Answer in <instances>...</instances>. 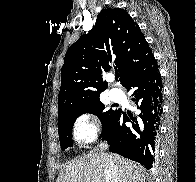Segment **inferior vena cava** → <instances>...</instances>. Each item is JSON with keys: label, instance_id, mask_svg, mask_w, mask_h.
I'll use <instances>...</instances> for the list:
<instances>
[{"label": "inferior vena cava", "instance_id": "obj_1", "mask_svg": "<svg viewBox=\"0 0 196 182\" xmlns=\"http://www.w3.org/2000/svg\"><path fill=\"white\" fill-rule=\"evenodd\" d=\"M107 148H108L107 143L100 144V150L102 156L104 155L103 150H106ZM104 176H105V182H118L116 168L113 162L108 158L105 160L104 163Z\"/></svg>", "mask_w": 196, "mask_h": 182}]
</instances>
